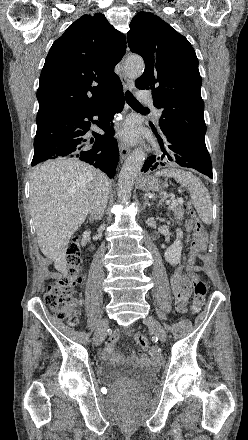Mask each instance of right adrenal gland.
I'll list each match as a JSON object with an SVG mask.
<instances>
[{
    "label": "right adrenal gland",
    "mask_w": 248,
    "mask_h": 440,
    "mask_svg": "<svg viewBox=\"0 0 248 440\" xmlns=\"http://www.w3.org/2000/svg\"><path fill=\"white\" fill-rule=\"evenodd\" d=\"M89 220H90V222H93V219L91 217L89 218Z\"/></svg>",
    "instance_id": "1"
}]
</instances>
